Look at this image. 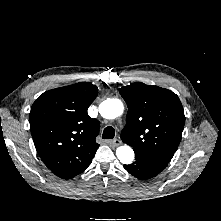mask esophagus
<instances>
[{
  "mask_svg": "<svg viewBox=\"0 0 221 221\" xmlns=\"http://www.w3.org/2000/svg\"><path fill=\"white\" fill-rule=\"evenodd\" d=\"M114 147H118L122 144L121 140L119 139H113L111 142H110Z\"/></svg>",
  "mask_w": 221,
  "mask_h": 221,
  "instance_id": "1",
  "label": "esophagus"
}]
</instances>
